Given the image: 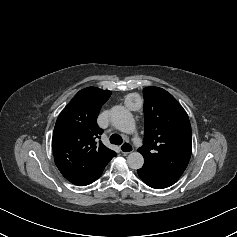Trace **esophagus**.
<instances>
[{
  "label": "esophagus",
  "instance_id": "obj_1",
  "mask_svg": "<svg viewBox=\"0 0 237 237\" xmlns=\"http://www.w3.org/2000/svg\"><path fill=\"white\" fill-rule=\"evenodd\" d=\"M120 151L127 155L131 152H133V146L130 143H124L120 146Z\"/></svg>",
  "mask_w": 237,
  "mask_h": 237
}]
</instances>
